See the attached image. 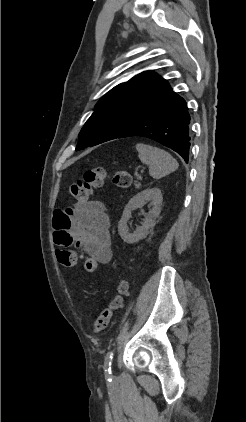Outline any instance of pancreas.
Wrapping results in <instances>:
<instances>
[{"label": "pancreas", "mask_w": 246, "mask_h": 422, "mask_svg": "<svg viewBox=\"0 0 246 422\" xmlns=\"http://www.w3.org/2000/svg\"><path fill=\"white\" fill-rule=\"evenodd\" d=\"M137 178H138L139 180H141V177H140V176H138ZM135 185L137 186V185H138V183L136 182V184H135Z\"/></svg>", "instance_id": "1"}]
</instances>
